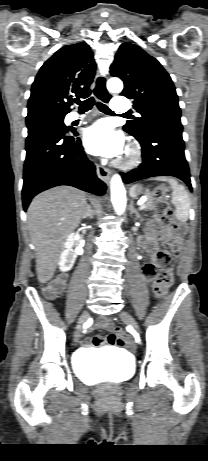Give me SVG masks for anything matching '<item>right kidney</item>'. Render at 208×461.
<instances>
[{
  "mask_svg": "<svg viewBox=\"0 0 208 461\" xmlns=\"http://www.w3.org/2000/svg\"><path fill=\"white\" fill-rule=\"evenodd\" d=\"M75 242V234L71 233L65 242L64 245V250L61 252L60 258H59V268L62 272H67L71 270L73 267L75 260L77 258V255H82L83 254V245H79L78 247L73 249Z\"/></svg>",
  "mask_w": 208,
  "mask_h": 461,
  "instance_id": "1",
  "label": "right kidney"
}]
</instances>
